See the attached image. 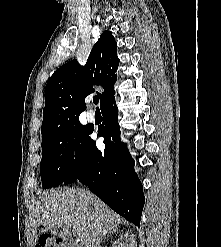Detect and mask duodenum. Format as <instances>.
I'll use <instances>...</instances> for the list:
<instances>
[{
	"label": "duodenum",
	"instance_id": "1",
	"mask_svg": "<svg viewBox=\"0 0 221 247\" xmlns=\"http://www.w3.org/2000/svg\"><path fill=\"white\" fill-rule=\"evenodd\" d=\"M64 247H74L72 244H69L68 242L66 241H61L60 242Z\"/></svg>",
	"mask_w": 221,
	"mask_h": 247
}]
</instances>
